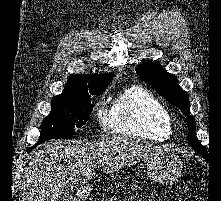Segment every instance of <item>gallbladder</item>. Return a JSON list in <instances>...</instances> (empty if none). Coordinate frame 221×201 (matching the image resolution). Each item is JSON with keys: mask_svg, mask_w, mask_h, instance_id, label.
Masks as SVG:
<instances>
[{"mask_svg": "<svg viewBox=\"0 0 221 201\" xmlns=\"http://www.w3.org/2000/svg\"><path fill=\"white\" fill-rule=\"evenodd\" d=\"M74 195V188L71 185L64 186L60 191V198L63 201H70L71 198H73Z\"/></svg>", "mask_w": 221, "mask_h": 201, "instance_id": "obj_1", "label": "gallbladder"}]
</instances>
